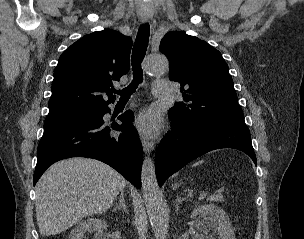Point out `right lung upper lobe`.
Returning a JSON list of instances; mask_svg holds the SVG:
<instances>
[{
  "label": "right lung upper lobe",
  "mask_w": 304,
  "mask_h": 239,
  "mask_svg": "<svg viewBox=\"0 0 304 239\" xmlns=\"http://www.w3.org/2000/svg\"><path fill=\"white\" fill-rule=\"evenodd\" d=\"M132 39L114 30L86 35L60 56L46 119L101 109L113 102L110 87L130 66ZM101 93L109 99L105 101Z\"/></svg>",
  "instance_id": "1"
}]
</instances>
